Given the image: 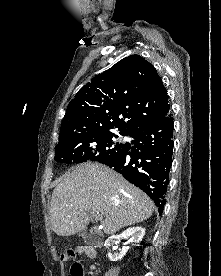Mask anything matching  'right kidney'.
I'll use <instances>...</instances> for the list:
<instances>
[{"instance_id":"right-kidney-1","label":"right kidney","mask_w":221,"mask_h":276,"mask_svg":"<svg viewBox=\"0 0 221 276\" xmlns=\"http://www.w3.org/2000/svg\"><path fill=\"white\" fill-rule=\"evenodd\" d=\"M144 235H145V229L144 228L138 227V226L137 227H131V228L126 229L120 235L109 237L105 241L104 245L106 247L117 245V244H119L121 239L128 238V237L130 238L129 242H133L134 245H138L142 241ZM128 249H129V246H124L122 248V250L117 254L113 255V254L108 253L109 260L110 261L121 260L125 256V254L127 253Z\"/></svg>"}]
</instances>
